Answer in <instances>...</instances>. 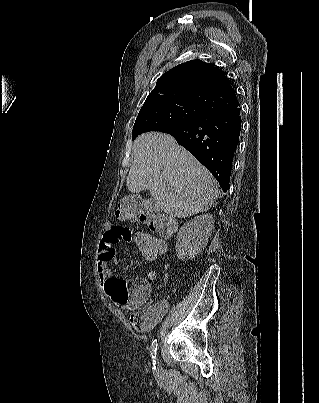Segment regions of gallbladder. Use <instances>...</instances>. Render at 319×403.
Wrapping results in <instances>:
<instances>
[{"label":"gallbladder","mask_w":319,"mask_h":403,"mask_svg":"<svg viewBox=\"0 0 319 403\" xmlns=\"http://www.w3.org/2000/svg\"><path fill=\"white\" fill-rule=\"evenodd\" d=\"M143 209L148 212H150L151 210L160 211V207L152 199L145 201Z\"/></svg>","instance_id":"1"}]
</instances>
